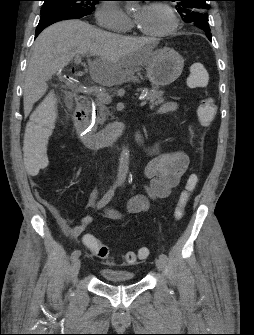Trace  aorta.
Listing matches in <instances>:
<instances>
[{"label": "aorta", "mask_w": 254, "mask_h": 335, "mask_svg": "<svg viewBox=\"0 0 254 335\" xmlns=\"http://www.w3.org/2000/svg\"><path fill=\"white\" fill-rule=\"evenodd\" d=\"M129 169V149L127 146L122 147L117 170L116 184L122 185L126 181Z\"/></svg>", "instance_id": "aorta-1"}]
</instances>
